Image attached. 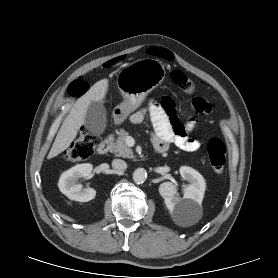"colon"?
Masks as SVG:
<instances>
[{"mask_svg":"<svg viewBox=\"0 0 278 278\" xmlns=\"http://www.w3.org/2000/svg\"><path fill=\"white\" fill-rule=\"evenodd\" d=\"M172 82L183 92L191 95L190 104L192 110L198 115L208 114L212 110V105L205 98L195 95V85L193 81L182 71L175 70L171 74ZM89 89V84L83 79L74 80L68 88V93L74 97H80ZM97 144V139L90 135H82L64 152V157L68 161H79L89 158ZM207 153L213 170L220 174L226 164V146L219 138H212L207 144Z\"/></svg>","mask_w":278,"mask_h":278,"instance_id":"5ec220e1","label":"colon"}]
</instances>
